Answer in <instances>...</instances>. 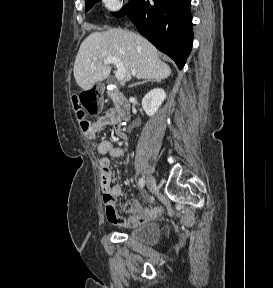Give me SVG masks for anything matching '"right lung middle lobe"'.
<instances>
[{"label":"right lung middle lobe","instance_id":"obj_1","mask_svg":"<svg viewBox=\"0 0 273 288\" xmlns=\"http://www.w3.org/2000/svg\"><path fill=\"white\" fill-rule=\"evenodd\" d=\"M100 0H85L86 3V11H88L94 3L99 2ZM135 0H129V3L126 4L120 11L113 13L114 16L122 17L125 16L133 6Z\"/></svg>","mask_w":273,"mask_h":288}]
</instances>
